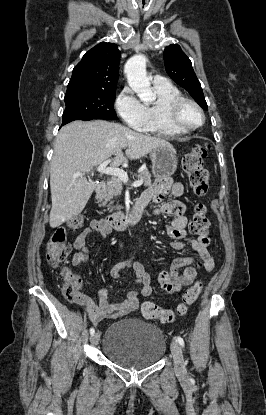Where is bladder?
I'll return each mask as SVG.
<instances>
[{
	"label": "bladder",
	"instance_id": "bladder-1",
	"mask_svg": "<svg viewBox=\"0 0 266 415\" xmlns=\"http://www.w3.org/2000/svg\"><path fill=\"white\" fill-rule=\"evenodd\" d=\"M166 351V338L154 324L139 318H125L106 330L102 352L126 369H142L157 363Z\"/></svg>",
	"mask_w": 266,
	"mask_h": 415
}]
</instances>
